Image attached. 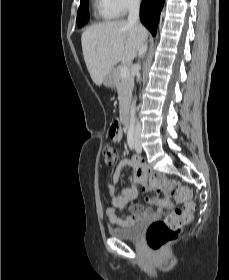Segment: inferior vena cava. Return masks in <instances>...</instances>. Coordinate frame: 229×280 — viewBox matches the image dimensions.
<instances>
[{
	"label": "inferior vena cava",
	"mask_w": 229,
	"mask_h": 280,
	"mask_svg": "<svg viewBox=\"0 0 229 280\" xmlns=\"http://www.w3.org/2000/svg\"><path fill=\"white\" fill-rule=\"evenodd\" d=\"M139 8H140V0H130L128 4V23L129 24H137L138 26L142 27L139 21ZM147 50V45L142 43L139 48V56H143V54ZM139 67V65H138ZM141 132V125L139 122L136 123L134 128L135 135H139Z\"/></svg>",
	"instance_id": "602c4592"
}]
</instances>
